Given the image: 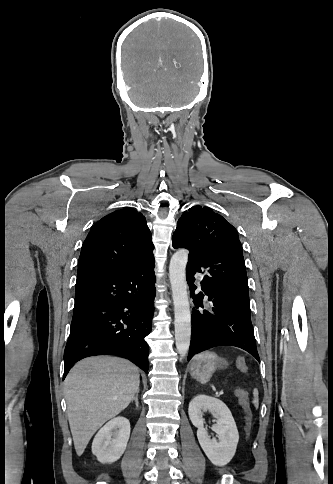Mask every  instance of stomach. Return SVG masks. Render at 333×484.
Wrapping results in <instances>:
<instances>
[{
  "label": "stomach",
  "mask_w": 333,
  "mask_h": 484,
  "mask_svg": "<svg viewBox=\"0 0 333 484\" xmlns=\"http://www.w3.org/2000/svg\"><path fill=\"white\" fill-rule=\"evenodd\" d=\"M227 365L226 360L212 352H202L190 363L191 376L201 383H207L217 368Z\"/></svg>",
  "instance_id": "1"
}]
</instances>
